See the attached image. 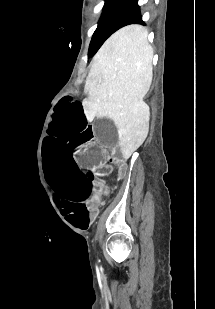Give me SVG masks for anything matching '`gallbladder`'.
<instances>
[{
    "mask_svg": "<svg viewBox=\"0 0 215 309\" xmlns=\"http://www.w3.org/2000/svg\"><path fill=\"white\" fill-rule=\"evenodd\" d=\"M92 131L95 136H99L101 144H105L106 148H115L119 134L117 129H115V125H111L110 121L104 120V117H101V120L96 121L95 125L92 126Z\"/></svg>",
    "mask_w": 215,
    "mask_h": 309,
    "instance_id": "1",
    "label": "gallbladder"
}]
</instances>
